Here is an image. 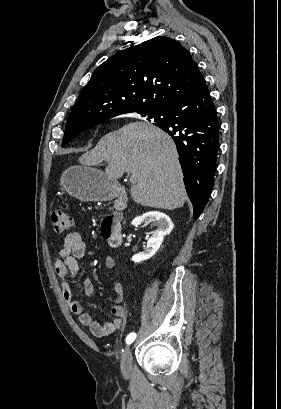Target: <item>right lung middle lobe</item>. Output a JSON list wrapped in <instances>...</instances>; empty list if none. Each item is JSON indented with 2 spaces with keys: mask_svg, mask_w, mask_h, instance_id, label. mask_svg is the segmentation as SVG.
Here are the masks:
<instances>
[{
  "mask_svg": "<svg viewBox=\"0 0 281 409\" xmlns=\"http://www.w3.org/2000/svg\"><path fill=\"white\" fill-rule=\"evenodd\" d=\"M137 113L141 114L142 116H148V119H152V118H153V112H137ZM115 116H117V115H115ZM115 116L108 117V118H106V119H104V120H101V121H99V122H97V123H94V124H91V125H88V126H83V127H68V128H65V134H64V138H63L62 145H63V146L66 145V144L69 143L77 134H79V133L85 131L86 129H89V128H91V127H93V126H95V125H97V124H99V123H102V122L106 121L107 119H110V118L115 117ZM153 119H154V118H153ZM154 121L157 122V120H155V119H154Z\"/></svg>",
  "mask_w": 281,
  "mask_h": 409,
  "instance_id": "obj_1",
  "label": "right lung middle lobe"
}]
</instances>
